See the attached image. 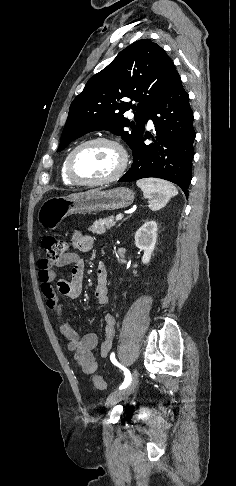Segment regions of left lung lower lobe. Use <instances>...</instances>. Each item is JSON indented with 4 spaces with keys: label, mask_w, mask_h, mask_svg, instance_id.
I'll list each match as a JSON object with an SVG mask.
<instances>
[{
    "label": "left lung lower lobe",
    "mask_w": 236,
    "mask_h": 486,
    "mask_svg": "<svg viewBox=\"0 0 236 486\" xmlns=\"http://www.w3.org/2000/svg\"><path fill=\"white\" fill-rule=\"evenodd\" d=\"M148 119L155 124L154 143L145 145L143 135L137 140L132 149V166L119 182L162 178L176 183L188 197L196 133L189 95L180 77L151 105Z\"/></svg>",
    "instance_id": "1"
}]
</instances>
